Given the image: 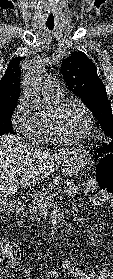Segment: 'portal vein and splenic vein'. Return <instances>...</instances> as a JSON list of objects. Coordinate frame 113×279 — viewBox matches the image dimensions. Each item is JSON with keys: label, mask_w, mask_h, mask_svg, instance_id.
I'll use <instances>...</instances> for the list:
<instances>
[{"label": "portal vein and splenic vein", "mask_w": 113, "mask_h": 279, "mask_svg": "<svg viewBox=\"0 0 113 279\" xmlns=\"http://www.w3.org/2000/svg\"><path fill=\"white\" fill-rule=\"evenodd\" d=\"M22 171H18L17 174L21 175ZM56 194H52V196H55ZM49 200L51 199V196L48 198Z\"/></svg>", "instance_id": "18ae733b"}]
</instances>
